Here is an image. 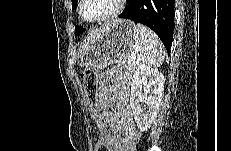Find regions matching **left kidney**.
Returning <instances> with one entry per match:
<instances>
[{
    "mask_svg": "<svg viewBox=\"0 0 231 151\" xmlns=\"http://www.w3.org/2000/svg\"><path fill=\"white\" fill-rule=\"evenodd\" d=\"M163 90L162 73L142 65L136 68L131 83L130 106L140 131H147L154 122L161 104Z\"/></svg>",
    "mask_w": 231,
    "mask_h": 151,
    "instance_id": "obj_1",
    "label": "left kidney"
}]
</instances>
